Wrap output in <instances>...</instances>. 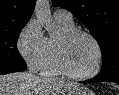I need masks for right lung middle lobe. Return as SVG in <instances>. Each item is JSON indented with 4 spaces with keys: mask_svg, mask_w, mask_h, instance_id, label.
<instances>
[{
    "mask_svg": "<svg viewBox=\"0 0 119 95\" xmlns=\"http://www.w3.org/2000/svg\"><path fill=\"white\" fill-rule=\"evenodd\" d=\"M26 24L27 22L0 27V65L26 67L17 49L19 34Z\"/></svg>",
    "mask_w": 119,
    "mask_h": 95,
    "instance_id": "right-lung-middle-lobe-1",
    "label": "right lung middle lobe"
}]
</instances>
